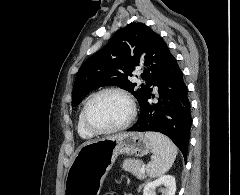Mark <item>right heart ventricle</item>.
<instances>
[{"label": "right heart ventricle", "instance_id": "e07e8e85", "mask_svg": "<svg viewBox=\"0 0 240 195\" xmlns=\"http://www.w3.org/2000/svg\"><path fill=\"white\" fill-rule=\"evenodd\" d=\"M78 132L84 139H90L93 137V134L88 131L83 124V110L80 111L78 117Z\"/></svg>", "mask_w": 240, "mask_h": 195}]
</instances>
